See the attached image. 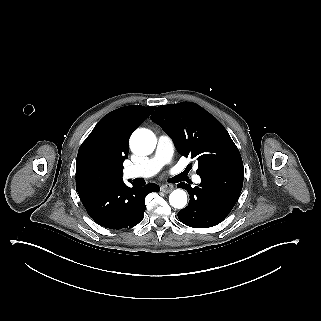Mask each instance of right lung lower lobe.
<instances>
[{"mask_svg":"<svg viewBox=\"0 0 321 321\" xmlns=\"http://www.w3.org/2000/svg\"><path fill=\"white\" fill-rule=\"evenodd\" d=\"M159 191L160 187L154 183L130 188L122 182L114 186L88 188L78 194L96 223L110 229H122L134 227L142 220L146 195Z\"/></svg>","mask_w":321,"mask_h":321,"instance_id":"obj_1","label":"right lung lower lobe"}]
</instances>
